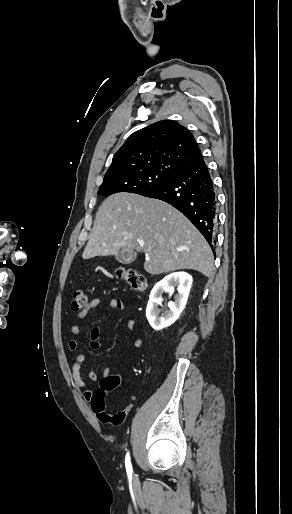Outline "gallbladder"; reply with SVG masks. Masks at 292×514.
I'll return each mask as SVG.
<instances>
[{
	"label": "gallbladder",
	"mask_w": 292,
	"mask_h": 514,
	"mask_svg": "<svg viewBox=\"0 0 292 514\" xmlns=\"http://www.w3.org/2000/svg\"><path fill=\"white\" fill-rule=\"evenodd\" d=\"M115 258L116 260H118V262H122V252L120 250V252H117V254H115ZM136 258V254H134V260Z\"/></svg>",
	"instance_id": "bac80fb5"
}]
</instances>
